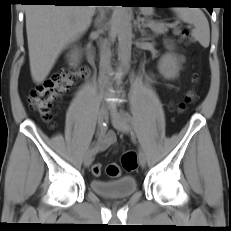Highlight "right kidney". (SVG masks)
Wrapping results in <instances>:
<instances>
[{
    "mask_svg": "<svg viewBox=\"0 0 231 231\" xmlns=\"http://www.w3.org/2000/svg\"><path fill=\"white\" fill-rule=\"evenodd\" d=\"M69 57V61H70V65L71 66H76L81 59V53L79 51V49L74 48L68 55Z\"/></svg>",
    "mask_w": 231,
    "mask_h": 231,
    "instance_id": "right-kidney-1",
    "label": "right kidney"
}]
</instances>
